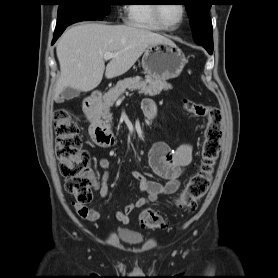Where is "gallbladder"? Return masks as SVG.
<instances>
[{
  "mask_svg": "<svg viewBox=\"0 0 278 278\" xmlns=\"http://www.w3.org/2000/svg\"><path fill=\"white\" fill-rule=\"evenodd\" d=\"M80 94V91L71 87H67L64 89V91L61 93L60 97L58 98L57 102L62 103L65 100H71L73 98L78 97Z\"/></svg>",
  "mask_w": 278,
  "mask_h": 278,
  "instance_id": "gallbladder-1",
  "label": "gallbladder"
}]
</instances>
